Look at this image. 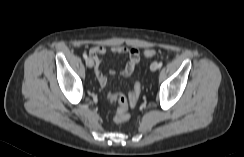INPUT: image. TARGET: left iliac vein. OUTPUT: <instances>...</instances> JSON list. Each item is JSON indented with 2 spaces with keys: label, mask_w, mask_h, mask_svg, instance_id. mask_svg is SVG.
<instances>
[{
  "label": "left iliac vein",
  "mask_w": 244,
  "mask_h": 157,
  "mask_svg": "<svg viewBox=\"0 0 244 157\" xmlns=\"http://www.w3.org/2000/svg\"><path fill=\"white\" fill-rule=\"evenodd\" d=\"M151 71H156L158 69V63L153 62L150 66Z\"/></svg>",
  "instance_id": "obj_1"
}]
</instances>
